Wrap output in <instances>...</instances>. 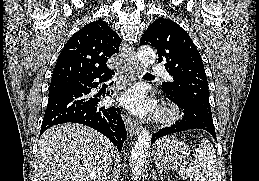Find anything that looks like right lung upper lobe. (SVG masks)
<instances>
[{
  "instance_id": "cb5924a9",
  "label": "right lung upper lobe",
  "mask_w": 259,
  "mask_h": 181,
  "mask_svg": "<svg viewBox=\"0 0 259 181\" xmlns=\"http://www.w3.org/2000/svg\"><path fill=\"white\" fill-rule=\"evenodd\" d=\"M120 37L106 22L98 20L77 31L61 51L50 85L78 77L108 72L106 62L119 52Z\"/></svg>"
}]
</instances>
